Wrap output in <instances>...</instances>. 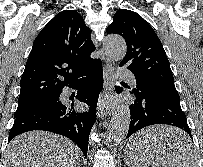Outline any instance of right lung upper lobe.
Here are the masks:
<instances>
[{
    "label": "right lung upper lobe",
    "mask_w": 203,
    "mask_h": 167,
    "mask_svg": "<svg viewBox=\"0 0 203 167\" xmlns=\"http://www.w3.org/2000/svg\"><path fill=\"white\" fill-rule=\"evenodd\" d=\"M91 31L75 10L58 13L36 37L21 77L18 106L57 95L99 59Z\"/></svg>",
    "instance_id": "1"
}]
</instances>
